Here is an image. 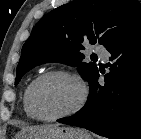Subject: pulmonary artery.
<instances>
[{"label":"pulmonary artery","mask_w":141,"mask_h":139,"mask_svg":"<svg viewBox=\"0 0 141 139\" xmlns=\"http://www.w3.org/2000/svg\"><path fill=\"white\" fill-rule=\"evenodd\" d=\"M95 52L103 59V60H107L108 59V52L105 48L103 47H96L95 48Z\"/></svg>","instance_id":"e3ab8cb5"}]
</instances>
